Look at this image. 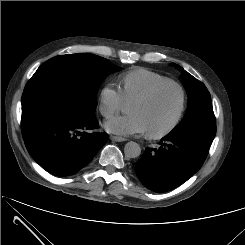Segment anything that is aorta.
I'll return each mask as SVG.
<instances>
[{
	"label": "aorta",
	"instance_id": "762f6f07",
	"mask_svg": "<svg viewBox=\"0 0 245 245\" xmlns=\"http://www.w3.org/2000/svg\"><path fill=\"white\" fill-rule=\"evenodd\" d=\"M124 154L127 158H137L141 154V147L138 143L130 141L125 144Z\"/></svg>",
	"mask_w": 245,
	"mask_h": 245
}]
</instances>
